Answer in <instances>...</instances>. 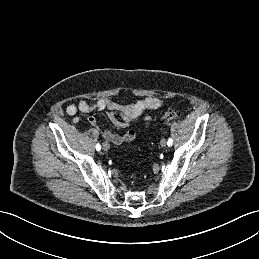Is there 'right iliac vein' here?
I'll use <instances>...</instances> for the list:
<instances>
[{"mask_svg":"<svg viewBox=\"0 0 259 259\" xmlns=\"http://www.w3.org/2000/svg\"><path fill=\"white\" fill-rule=\"evenodd\" d=\"M102 149L104 151H108L109 150V144L107 142H104L103 145H102Z\"/></svg>","mask_w":259,"mask_h":259,"instance_id":"63e3f726","label":"right iliac vein"}]
</instances>
